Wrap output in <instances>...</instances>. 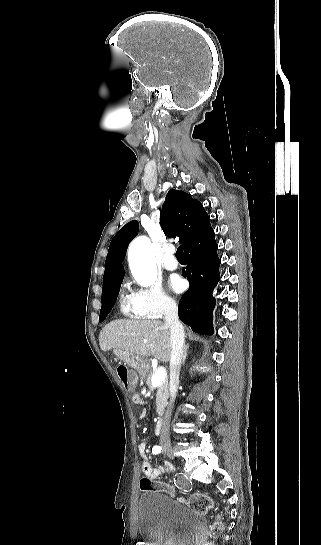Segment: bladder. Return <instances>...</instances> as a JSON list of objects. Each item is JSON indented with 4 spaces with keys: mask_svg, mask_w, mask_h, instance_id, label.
Here are the masks:
<instances>
[{
    "mask_svg": "<svg viewBox=\"0 0 321 545\" xmlns=\"http://www.w3.org/2000/svg\"><path fill=\"white\" fill-rule=\"evenodd\" d=\"M204 515L169 496L149 490L137 504L139 536L150 545H192L205 529Z\"/></svg>",
    "mask_w": 321,
    "mask_h": 545,
    "instance_id": "1",
    "label": "bladder"
}]
</instances>
